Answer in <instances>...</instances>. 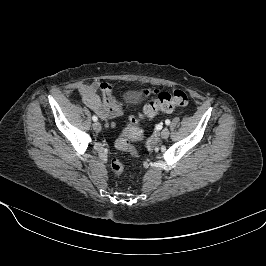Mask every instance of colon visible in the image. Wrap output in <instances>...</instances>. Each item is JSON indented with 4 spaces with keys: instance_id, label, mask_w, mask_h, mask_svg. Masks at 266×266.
<instances>
[{
    "instance_id": "1",
    "label": "colon",
    "mask_w": 266,
    "mask_h": 266,
    "mask_svg": "<svg viewBox=\"0 0 266 266\" xmlns=\"http://www.w3.org/2000/svg\"><path fill=\"white\" fill-rule=\"evenodd\" d=\"M188 104V97L182 90L173 92H159L151 98L144 106L139 116H132L129 119L130 124H136L143 117H153L159 111L170 112L175 108H182ZM117 149L128 152L132 156H137V152L129 141L125 133L121 134L115 142ZM112 172L119 176L124 170V164L118 159H113L110 163Z\"/></svg>"
}]
</instances>
